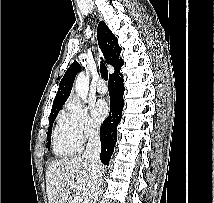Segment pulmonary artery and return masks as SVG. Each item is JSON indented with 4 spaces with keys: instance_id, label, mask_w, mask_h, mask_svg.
Instances as JSON below:
<instances>
[{
    "instance_id": "obj_1",
    "label": "pulmonary artery",
    "mask_w": 214,
    "mask_h": 203,
    "mask_svg": "<svg viewBox=\"0 0 214 203\" xmlns=\"http://www.w3.org/2000/svg\"><path fill=\"white\" fill-rule=\"evenodd\" d=\"M97 91L101 94H104L107 92V86L103 80H99L96 85Z\"/></svg>"
}]
</instances>
